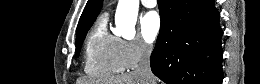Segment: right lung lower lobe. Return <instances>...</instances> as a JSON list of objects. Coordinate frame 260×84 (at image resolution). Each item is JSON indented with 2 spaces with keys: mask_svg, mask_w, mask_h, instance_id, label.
Segmentation results:
<instances>
[{
  "mask_svg": "<svg viewBox=\"0 0 260 84\" xmlns=\"http://www.w3.org/2000/svg\"><path fill=\"white\" fill-rule=\"evenodd\" d=\"M158 7L152 72L167 84H222L223 32L214 0H158Z\"/></svg>",
  "mask_w": 260,
  "mask_h": 84,
  "instance_id": "obj_1",
  "label": "right lung lower lobe"
}]
</instances>
